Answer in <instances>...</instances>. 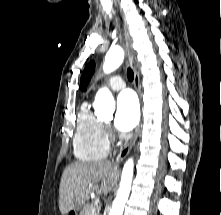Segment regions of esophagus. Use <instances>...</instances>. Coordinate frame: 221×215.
Segmentation results:
<instances>
[{
  "mask_svg": "<svg viewBox=\"0 0 221 215\" xmlns=\"http://www.w3.org/2000/svg\"><path fill=\"white\" fill-rule=\"evenodd\" d=\"M123 31H124L126 49H127L128 56H129V62H130V65L133 69V72H134V81H133L134 86H135V89L138 93L139 99L141 101L140 79H139V74H138V71L136 69L135 62H134V50H133V47H132V37H131L130 32H129L128 24L125 20H123ZM141 125H142V122H140L138 124V126H137V128L134 132V135L129 140V142L120 150V152L117 156V159H116L117 162L122 161L128 155V153L130 152L131 148L133 147V145L135 144V142L138 138Z\"/></svg>",
  "mask_w": 221,
  "mask_h": 215,
  "instance_id": "1",
  "label": "esophagus"
}]
</instances>
